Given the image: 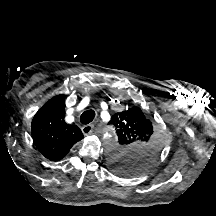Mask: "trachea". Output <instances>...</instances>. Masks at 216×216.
Instances as JSON below:
<instances>
[{
	"instance_id": "1",
	"label": "trachea",
	"mask_w": 216,
	"mask_h": 216,
	"mask_svg": "<svg viewBox=\"0 0 216 216\" xmlns=\"http://www.w3.org/2000/svg\"><path fill=\"white\" fill-rule=\"evenodd\" d=\"M95 115L96 114L94 110H87L81 114L80 121L82 124H89L90 122L93 121Z\"/></svg>"
}]
</instances>
